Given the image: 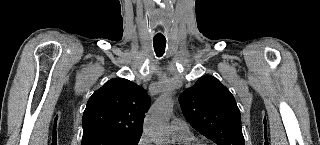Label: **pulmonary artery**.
<instances>
[{"mask_svg": "<svg viewBox=\"0 0 320 145\" xmlns=\"http://www.w3.org/2000/svg\"><path fill=\"white\" fill-rule=\"evenodd\" d=\"M170 131L173 136H187L191 134L188 123L182 119L172 120Z\"/></svg>", "mask_w": 320, "mask_h": 145, "instance_id": "pulmonary-artery-1", "label": "pulmonary artery"}]
</instances>
